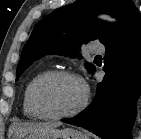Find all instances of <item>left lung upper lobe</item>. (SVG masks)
I'll use <instances>...</instances> for the list:
<instances>
[{
	"instance_id": "5c2ea615",
	"label": "left lung upper lobe",
	"mask_w": 141,
	"mask_h": 139,
	"mask_svg": "<svg viewBox=\"0 0 141 139\" xmlns=\"http://www.w3.org/2000/svg\"><path fill=\"white\" fill-rule=\"evenodd\" d=\"M99 13H110L120 24L95 18ZM141 20L131 0H77L58 8L43 18L33 29L23 47L17 66L16 80L35 61L46 54L78 55L82 44L98 39L103 45L126 33ZM89 72L95 67L86 63Z\"/></svg>"
}]
</instances>
